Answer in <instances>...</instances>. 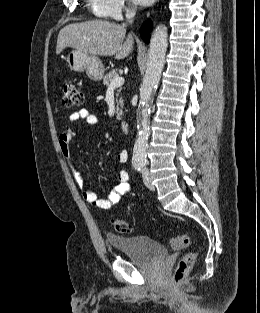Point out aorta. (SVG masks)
<instances>
[{"mask_svg":"<svg viewBox=\"0 0 260 313\" xmlns=\"http://www.w3.org/2000/svg\"><path fill=\"white\" fill-rule=\"evenodd\" d=\"M167 28L158 26L154 31L149 47L146 73L140 87V106L138 110V133L133 148V163L144 164L150 134L149 119L151 99L157 87L165 63L167 50Z\"/></svg>","mask_w":260,"mask_h":313,"instance_id":"obj_1","label":"aorta"}]
</instances>
